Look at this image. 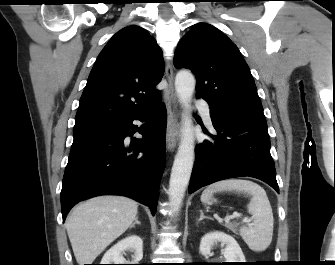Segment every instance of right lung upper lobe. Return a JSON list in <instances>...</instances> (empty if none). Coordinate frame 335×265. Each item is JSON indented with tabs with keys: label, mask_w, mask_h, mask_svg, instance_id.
I'll use <instances>...</instances> for the list:
<instances>
[{
	"label": "right lung upper lobe",
	"mask_w": 335,
	"mask_h": 265,
	"mask_svg": "<svg viewBox=\"0 0 335 265\" xmlns=\"http://www.w3.org/2000/svg\"><path fill=\"white\" fill-rule=\"evenodd\" d=\"M164 60L156 41L141 27L118 31L100 52L80 98L75 126L104 125L154 107Z\"/></svg>",
	"instance_id": "right-lung-upper-lobe-1"
}]
</instances>
